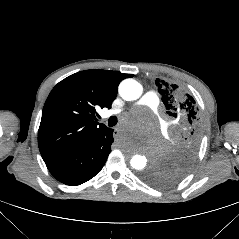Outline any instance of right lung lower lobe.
I'll list each match as a JSON object with an SVG mask.
<instances>
[{
  "instance_id": "right-lung-lower-lobe-1",
  "label": "right lung lower lobe",
  "mask_w": 239,
  "mask_h": 239,
  "mask_svg": "<svg viewBox=\"0 0 239 239\" xmlns=\"http://www.w3.org/2000/svg\"><path fill=\"white\" fill-rule=\"evenodd\" d=\"M113 142V130L106 128L82 146L44 162L58 181L80 185L100 172Z\"/></svg>"
}]
</instances>
